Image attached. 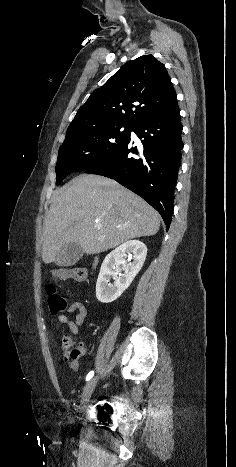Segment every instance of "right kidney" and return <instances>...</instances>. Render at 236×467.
Masks as SVG:
<instances>
[{"mask_svg":"<svg viewBox=\"0 0 236 467\" xmlns=\"http://www.w3.org/2000/svg\"><path fill=\"white\" fill-rule=\"evenodd\" d=\"M133 254L132 262L127 264L125 256ZM147 255L146 245L139 240H130L110 252L100 268L96 283V297L102 303L116 300L130 286L141 270ZM124 271L121 274V271ZM111 278L114 284H110Z\"/></svg>","mask_w":236,"mask_h":467,"instance_id":"ca27d5eb","label":"right kidney"}]
</instances>
